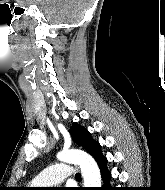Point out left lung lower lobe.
Masks as SVG:
<instances>
[{
	"label": "left lung lower lobe",
	"instance_id": "0a47b994",
	"mask_svg": "<svg viewBox=\"0 0 165 190\" xmlns=\"http://www.w3.org/2000/svg\"><path fill=\"white\" fill-rule=\"evenodd\" d=\"M97 163L99 165L101 176L104 182V187L102 188V190H112L113 188L109 186L111 174L106 167L107 159L105 157H102L99 160H97Z\"/></svg>",
	"mask_w": 165,
	"mask_h": 190
}]
</instances>
